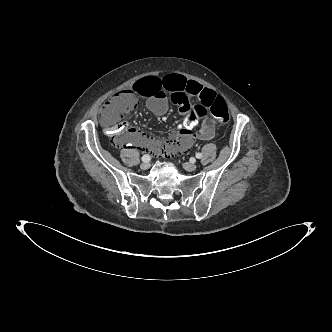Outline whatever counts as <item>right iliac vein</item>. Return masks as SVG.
<instances>
[{"label": "right iliac vein", "instance_id": "obj_1", "mask_svg": "<svg viewBox=\"0 0 332 332\" xmlns=\"http://www.w3.org/2000/svg\"><path fill=\"white\" fill-rule=\"evenodd\" d=\"M149 167H150V164H149L148 162H143V163L140 165V168H141L142 170H147V169H149Z\"/></svg>", "mask_w": 332, "mask_h": 332}]
</instances>
